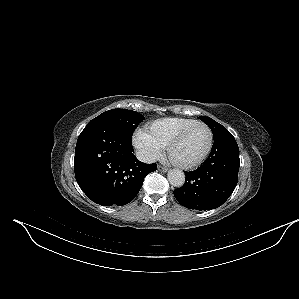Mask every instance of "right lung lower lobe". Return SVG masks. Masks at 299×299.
Segmentation results:
<instances>
[{
    "mask_svg": "<svg viewBox=\"0 0 299 299\" xmlns=\"http://www.w3.org/2000/svg\"><path fill=\"white\" fill-rule=\"evenodd\" d=\"M156 169V164H145L134 156L131 136L113 124L90 121L78 137L75 177L97 204L122 206L131 202L144 178Z\"/></svg>",
    "mask_w": 299,
    "mask_h": 299,
    "instance_id": "obj_1",
    "label": "right lung lower lobe"
}]
</instances>
